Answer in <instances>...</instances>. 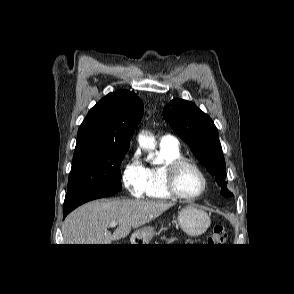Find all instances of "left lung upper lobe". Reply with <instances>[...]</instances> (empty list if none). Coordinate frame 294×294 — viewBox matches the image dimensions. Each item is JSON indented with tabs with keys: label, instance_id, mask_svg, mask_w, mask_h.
<instances>
[{
	"label": "left lung upper lobe",
	"instance_id": "left-lung-upper-lobe-1",
	"mask_svg": "<svg viewBox=\"0 0 294 294\" xmlns=\"http://www.w3.org/2000/svg\"><path fill=\"white\" fill-rule=\"evenodd\" d=\"M163 117L172 129L189 146L194 155L215 176L222 187L221 193L230 197L227 189L226 166L222 153L218 131L211 118L202 112L193 102L174 99L164 107Z\"/></svg>",
	"mask_w": 294,
	"mask_h": 294
}]
</instances>
